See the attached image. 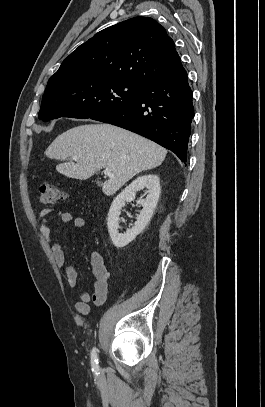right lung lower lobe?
Wrapping results in <instances>:
<instances>
[{"instance_id": "obj_1", "label": "right lung lower lobe", "mask_w": 265, "mask_h": 407, "mask_svg": "<svg viewBox=\"0 0 265 407\" xmlns=\"http://www.w3.org/2000/svg\"><path fill=\"white\" fill-rule=\"evenodd\" d=\"M193 118L192 90L179 58L170 73L146 84L133 103L91 119L149 138L186 164Z\"/></svg>"}]
</instances>
